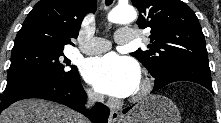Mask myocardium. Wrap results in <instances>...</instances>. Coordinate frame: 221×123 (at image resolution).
I'll list each match as a JSON object with an SVG mask.
<instances>
[{
    "label": "myocardium",
    "instance_id": "obj_1",
    "mask_svg": "<svg viewBox=\"0 0 221 123\" xmlns=\"http://www.w3.org/2000/svg\"><path fill=\"white\" fill-rule=\"evenodd\" d=\"M152 90V81L149 78H142L139 81L137 89L133 92L130 100L132 102H139L144 99Z\"/></svg>",
    "mask_w": 221,
    "mask_h": 123
}]
</instances>
